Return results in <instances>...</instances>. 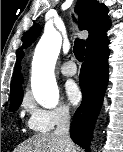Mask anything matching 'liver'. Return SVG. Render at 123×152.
Listing matches in <instances>:
<instances>
[{"label":"liver","mask_w":123,"mask_h":152,"mask_svg":"<svg viewBox=\"0 0 123 152\" xmlns=\"http://www.w3.org/2000/svg\"><path fill=\"white\" fill-rule=\"evenodd\" d=\"M72 141L64 142L53 133L37 134L24 141L14 152H76Z\"/></svg>","instance_id":"liver-1"}]
</instances>
